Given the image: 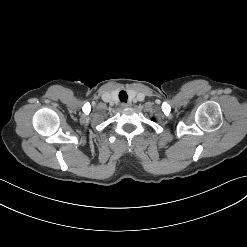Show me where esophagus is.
Returning a JSON list of instances; mask_svg holds the SVG:
<instances>
[{
    "label": "esophagus",
    "instance_id": "obj_1",
    "mask_svg": "<svg viewBox=\"0 0 247 247\" xmlns=\"http://www.w3.org/2000/svg\"><path fill=\"white\" fill-rule=\"evenodd\" d=\"M121 107L122 108H128V107H130V104L129 103H122Z\"/></svg>",
    "mask_w": 247,
    "mask_h": 247
}]
</instances>
